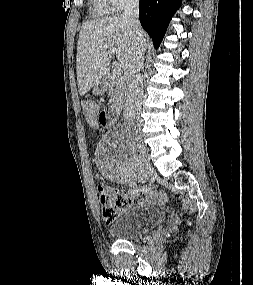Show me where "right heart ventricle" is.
Instances as JSON below:
<instances>
[{
    "instance_id": "obj_1",
    "label": "right heart ventricle",
    "mask_w": 253,
    "mask_h": 285,
    "mask_svg": "<svg viewBox=\"0 0 253 285\" xmlns=\"http://www.w3.org/2000/svg\"><path fill=\"white\" fill-rule=\"evenodd\" d=\"M91 8L97 16H107L114 12L109 0H92Z\"/></svg>"
}]
</instances>
